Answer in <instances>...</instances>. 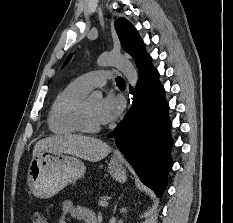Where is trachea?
I'll return each instance as SVG.
<instances>
[{"label":"trachea","mask_w":233,"mask_h":223,"mask_svg":"<svg viewBox=\"0 0 233 223\" xmlns=\"http://www.w3.org/2000/svg\"><path fill=\"white\" fill-rule=\"evenodd\" d=\"M116 83H117V85H121V84L125 85V81L122 77H117Z\"/></svg>","instance_id":"obj_1"}]
</instances>
